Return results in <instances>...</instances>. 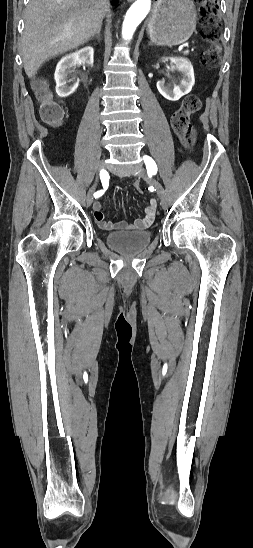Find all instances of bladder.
Instances as JSON below:
<instances>
[{
  "mask_svg": "<svg viewBox=\"0 0 253 548\" xmlns=\"http://www.w3.org/2000/svg\"><path fill=\"white\" fill-rule=\"evenodd\" d=\"M151 238L149 230L113 231L106 235V242L123 254H136L149 245Z\"/></svg>",
  "mask_w": 253,
  "mask_h": 548,
  "instance_id": "obj_1",
  "label": "bladder"
}]
</instances>
